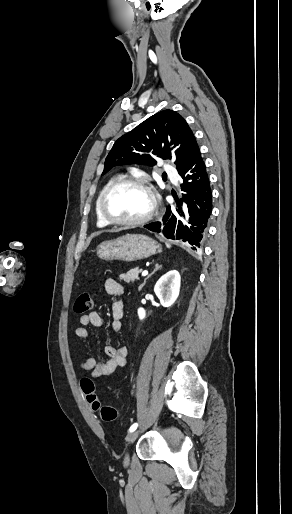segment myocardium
Returning <instances> with one entry per match:
<instances>
[{"instance_id":"f54148a6","label":"myocardium","mask_w":292,"mask_h":514,"mask_svg":"<svg viewBox=\"0 0 292 514\" xmlns=\"http://www.w3.org/2000/svg\"><path fill=\"white\" fill-rule=\"evenodd\" d=\"M124 185L138 186V187L144 189L149 194L150 199H151V205H150L148 212L144 216L137 218V219H132V220H119V219H116L113 216H111L106 211L105 201H106L108 194L113 189L120 187V186H124ZM98 208H99V212L102 215V217L110 224H115V225H120V226H136V225H141L151 219V217L153 216V214L156 210V199H155L151 189L146 185V183L143 180H141L137 177H123V178H119V179L112 181L105 187V189L102 191V193L99 197Z\"/></svg>"}]
</instances>
